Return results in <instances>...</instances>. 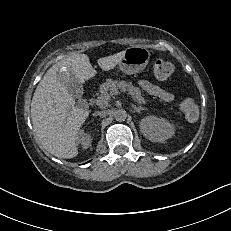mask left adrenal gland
<instances>
[{
    "mask_svg": "<svg viewBox=\"0 0 231 231\" xmlns=\"http://www.w3.org/2000/svg\"><path fill=\"white\" fill-rule=\"evenodd\" d=\"M133 108H134V110L136 111V112H140L141 110H146V108H144V107H141V106H135V105H133Z\"/></svg>",
    "mask_w": 231,
    "mask_h": 231,
    "instance_id": "a2214340",
    "label": "left adrenal gland"
}]
</instances>
